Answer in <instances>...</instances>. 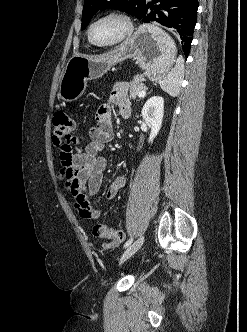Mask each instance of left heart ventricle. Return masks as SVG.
I'll return each mask as SVG.
<instances>
[{
  "instance_id": "obj_1",
  "label": "left heart ventricle",
  "mask_w": 247,
  "mask_h": 332,
  "mask_svg": "<svg viewBox=\"0 0 247 332\" xmlns=\"http://www.w3.org/2000/svg\"><path fill=\"white\" fill-rule=\"evenodd\" d=\"M123 23L116 18H106L98 21L91 30V37L95 43L104 44L117 39L123 32Z\"/></svg>"
}]
</instances>
